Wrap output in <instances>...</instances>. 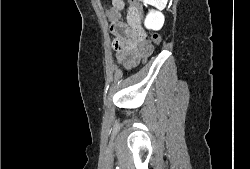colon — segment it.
Returning <instances> with one entry per match:
<instances>
[{
  "instance_id": "1",
  "label": "colon",
  "mask_w": 250,
  "mask_h": 169,
  "mask_svg": "<svg viewBox=\"0 0 250 169\" xmlns=\"http://www.w3.org/2000/svg\"><path fill=\"white\" fill-rule=\"evenodd\" d=\"M128 2L130 4V7L133 8V10H136V15H144V10H143L144 7H143V4L141 3V0H129ZM113 5L116 6L118 9H123L124 7V4L121 0H115L113 2ZM114 24H115L114 28H115L116 33L118 34L127 33L128 30L126 26H124L122 23H120L119 21H116L114 22ZM151 38H152V42L155 45L163 43V40L160 38V36L157 33H153L151 35ZM140 39L143 40L141 37Z\"/></svg>"
}]
</instances>
